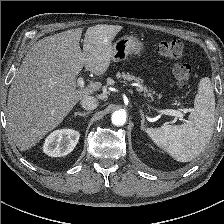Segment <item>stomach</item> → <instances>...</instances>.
<instances>
[{
    "label": "stomach",
    "instance_id": "obj_1",
    "mask_svg": "<svg viewBox=\"0 0 224 224\" xmlns=\"http://www.w3.org/2000/svg\"><path fill=\"white\" fill-rule=\"evenodd\" d=\"M143 43L133 35H125L113 44L111 60L115 63L124 61L129 54L140 55Z\"/></svg>",
    "mask_w": 224,
    "mask_h": 224
}]
</instances>
